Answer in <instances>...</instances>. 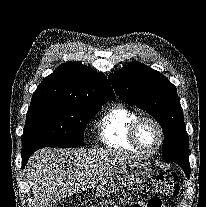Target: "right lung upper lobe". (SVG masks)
Wrapping results in <instances>:
<instances>
[{"label":"right lung upper lobe","mask_w":206,"mask_h":207,"mask_svg":"<svg viewBox=\"0 0 206 207\" xmlns=\"http://www.w3.org/2000/svg\"><path fill=\"white\" fill-rule=\"evenodd\" d=\"M45 100L94 105L115 100V95L104 74L69 62L60 65L40 83L31 102Z\"/></svg>","instance_id":"cb5924a9"}]
</instances>
